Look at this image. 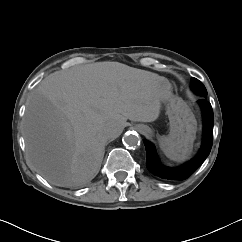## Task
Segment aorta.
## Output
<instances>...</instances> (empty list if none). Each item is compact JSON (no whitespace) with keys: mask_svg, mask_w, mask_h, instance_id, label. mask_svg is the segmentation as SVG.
Instances as JSON below:
<instances>
[{"mask_svg":"<svg viewBox=\"0 0 242 242\" xmlns=\"http://www.w3.org/2000/svg\"><path fill=\"white\" fill-rule=\"evenodd\" d=\"M141 138L137 133L134 132H128L123 137V143L128 147H137L140 145Z\"/></svg>","mask_w":242,"mask_h":242,"instance_id":"aorta-1","label":"aorta"}]
</instances>
